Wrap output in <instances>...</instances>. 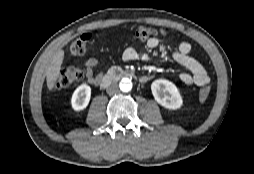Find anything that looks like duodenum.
Masks as SVG:
<instances>
[{
	"instance_id": "410a0bca",
	"label": "duodenum",
	"mask_w": 254,
	"mask_h": 174,
	"mask_svg": "<svg viewBox=\"0 0 254 174\" xmlns=\"http://www.w3.org/2000/svg\"><path fill=\"white\" fill-rule=\"evenodd\" d=\"M133 74L129 71L120 69V68H112L105 75H103L99 81V84L102 87L109 86L112 82L120 79H129L132 78Z\"/></svg>"
}]
</instances>
